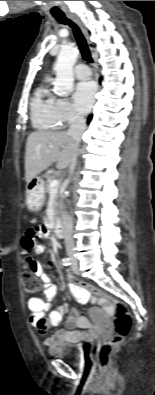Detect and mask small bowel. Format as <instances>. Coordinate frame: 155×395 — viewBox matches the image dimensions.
<instances>
[{"instance_id": "1", "label": "small bowel", "mask_w": 155, "mask_h": 395, "mask_svg": "<svg viewBox=\"0 0 155 395\" xmlns=\"http://www.w3.org/2000/svg\"><path fill=\"white\" fill-rule=\"evenodd\" d=\"M45 230L41 226L31 228L22 238L21 246L24 252L35 248L40 252L44 249ZM33 270L36 276L41 279L42 287L45 293L46 301L33 297L28 301V308L31 312L29 317L30 324L35 328L37 334L42 337V344L49 350H54L58 345L69 343H80L93 339L99 327H95L93 322L84 316H81L78 311L72 310L67 321L66 328L57 331L52 336L47 337V331L51 327H57L61 324L64 314L62 306L56 307L50 312L49 316H45V311L49 309V303L52 302L57 294V286L52 282L51 278L45 274L41 266L33 260ZM68 291H71L80 303H87L94 300L95 294L87 291V288H80L79 285L68 284ZM98 300L102 305V310L111 312V305L109 300L104 296H98ZM98 317L100 323H104L103 313L100 311H93Z\"/></svg>"}]
</instances>
